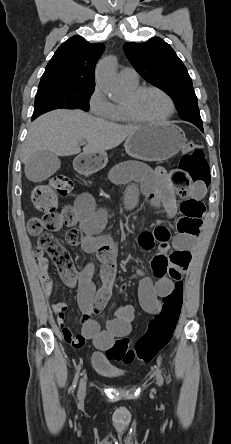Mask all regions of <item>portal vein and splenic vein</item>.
Instances as JSON below:
<instances>
[{"instance_id":"obj_1","label":"portal vein and splenic vein","mask_w":231,"mask_h":444,"mask_svg":"<svg viewBox=\"0 0 231 444\" xmlns=\"http://www.w3.org/2000/svg\"><path fill=\"white\" fill-rule=\"evenodd\" d=\"M81 144H86V141L82 140L80 141Z\"/></svg>"}]
</instances>
